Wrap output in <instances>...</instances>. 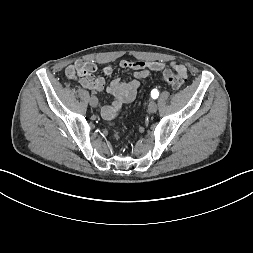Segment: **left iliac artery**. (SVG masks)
<instances>
[{"label": "left iliac artery", "instance_id": "left-iliac-artery-1", "mask_svg": "<svg viewBox=\"0 0 253 253\" xmlns=\"http://www.w3.org/2000/svg\"><path fill=\"white\" fill-rule=\"evenodd\" d=\"M158 96H159L158 91H157L156 89H153V90L151 91V97H152L153 99H156Z\"/></svg>", "mask_w": 253, "mask_h": 253}]
</instances>
